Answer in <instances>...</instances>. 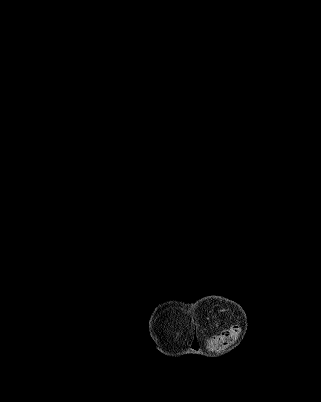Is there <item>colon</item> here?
I'll return each instance as SVG.
<instances>
[{
  "label": "colon",
  "instance_id": "1",
  "mask_svg": "<svg viewBox=\"0 0 321 402\" xmlns=\"http://www.w3.org/2000/svg\"><path fill=\"white\" fill-rule=\"evenodd\" d=\"M240 332V327L238 325L231 326L226 329L221 334L216 335L213 340L211 347L213 350H221L228 345L232 344Z\"/></svg>",
  "mask_w": 321,
  "mask_h": 402
}]
</instances>
